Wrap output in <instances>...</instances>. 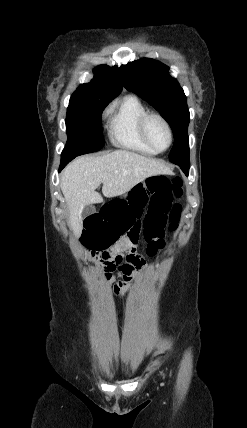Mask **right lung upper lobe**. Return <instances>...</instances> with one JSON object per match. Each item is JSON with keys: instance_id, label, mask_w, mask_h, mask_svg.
<instances>
[{"instance_id": "right-lung-upper-lobe-1", "label": "right lung upper lobe", "mask_w": 247, "mask_h": 428, "mask_svg": "<svg viewBox=\"0 0 247 428\" xmlns=\"http://www.w3.org/2000/svg\"><path fill=\"white\" fill-rule=\"evenodd\" d=\"M91 82L80 85L72 96L87 95L111 101L122 91L120 72L117 67L109 68L106 65L95 68Z\"/></svg>"}]
</instances>
